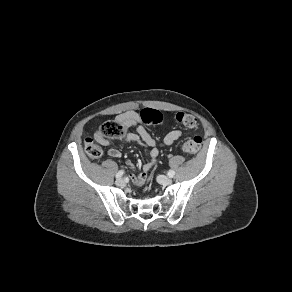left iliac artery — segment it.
I'll return each instance as SVG.
<instances>
[{
    "label": "left iliac artery",
    "instance_id": "1",
    "mask_svg": "<svg viewBox=\"0 0 292 292\" xmlns=\"http://www.w3.org/2000/svg\"><path fill=\"white\" fill-rule=\"evenodd\" d=\"M174 175H175V172L173 170H169L168 171V176L169 177H174Z\"/></svg>",
    "mask_w": 292,
    "mask_h": 292
}]
</instances>
